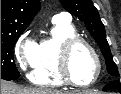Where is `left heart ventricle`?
Listing matches in <instances>:
<instances>
[{
    "mask_svg": "<svg viewBox=\"0 0 121 94\" xmlns=\"http://www.w3.org/2000/svg\"><path fill=\"white\" fill-rule=\"evenodd\" d=\"M70 71L73 79L78 83H88L96 75V61L83 44H77L71 52Z\"/></svg>",
    "mask_w": 121,
    "mask_h": 94,
    "instance_id": "left-heart-ventricle-1",
    "label": "left heart ventricle"
}]
</instances>
